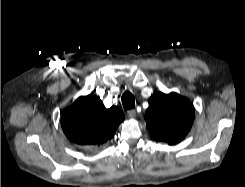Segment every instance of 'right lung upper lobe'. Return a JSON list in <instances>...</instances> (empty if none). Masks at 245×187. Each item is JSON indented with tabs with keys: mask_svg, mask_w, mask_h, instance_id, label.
I'll list each match as a JSON object with an SVG mask.
<instances>
[{
	"mask_svg": "<svg viewBox=\"0 0 245 187\" xmlns=\"http://www.w3.org/2000/svg\"><path fill=\"white\" fill-rule=\"evenodd\" d=\"M124 120L117 106L105 108L94 95L79 97L66 108L61 117V126L75 144L82 147H99L110 140Z\"/></svg>",
	"mask_w": 245,
	"mask_h": 187,
	"instance_id": "cb5924a9",
	"label": "right lung upper lobe"
}]
</instances>
